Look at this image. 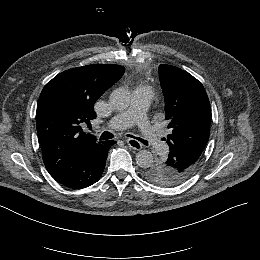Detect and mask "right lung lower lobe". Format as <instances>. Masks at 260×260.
<instances>
[{
    "label": "right lung lower lobe",
    "mask_w": 260,
    "mask_h": 260,
    "mask_svg": "<svg viewBox=\"0 0 260 260\" xmlns=\"http://www.w3.org/2000/svg\"><path fill=\"white\" fill-rule=\"evenodd\" d=\"M115 141H106L101 149L85 158L78 165L68 168L53 178L63 186L71 189L86 188L96 183L105 168L109 148Z\"/></svg>",
    "instance_id": "1"
}]
</instances>
